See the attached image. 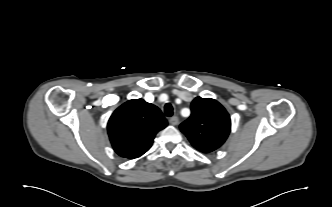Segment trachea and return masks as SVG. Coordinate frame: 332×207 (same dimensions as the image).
<instances>
[{
	"label": "trachea",
	"instance_id": "obj_1",
	"mask_svg": "<svg viewBox=\"0 0 332 207\" xmlns=\"http://www.w3.org/2000/svg\"><path fill=\"white\" fill-rule=\"evenodd\" d=\"M164 112L166 116L170 117L173 115V107L170 103H167L164 107Z\"/></svg>",
	"mask_w": 332,
	"mask_h": 207
}]
</instances>
